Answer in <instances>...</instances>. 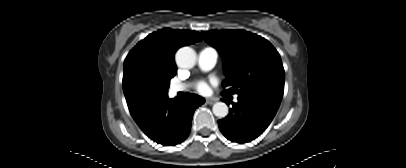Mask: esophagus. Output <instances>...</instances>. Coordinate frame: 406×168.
Returning <instances> with one entry per match:
<instances>
[{
  "label": "esophagus",
  "mask_w": 406,
  "mask_h": 168,
  "mask_svg": "<svg viewBox=\"0 0 406 168\" xmlns=\"http://www.w3.org/2000/svg\"><path fill=\"white\" fill-rule=\"evenodd\" d=\"M214 103H215V100L206 99V104H208V105H213Z\"/></svg>",
  "instance_id": "1"
}]
</instances>
